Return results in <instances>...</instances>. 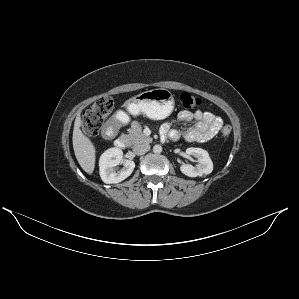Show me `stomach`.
Listing matches in <instances>:
<instances>
[{
	"label": "stomach",
	"mask_w": 299,
	"mask_h": 299,
	"mask_svg": "<svg viewBox=\"0 0 299 299\" xmlns=\"http://www.w3.org/2000/svg\"><path fill=\"white\" fill-rule=\"evenodd\" d=\"M173 109V95L164 88L145 91L127 103V110L132 115L143 114L153 120L165 119L172 113Z\"/></svg>",
	"instance_id": "0dacf381"
}]
</instances>
